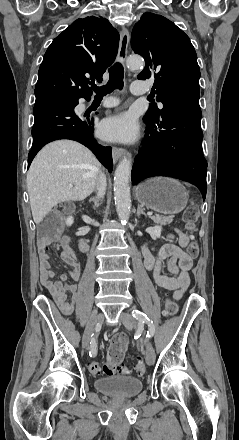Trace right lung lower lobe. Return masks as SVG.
<instances>
[{"label":"right lung lower lobe","instance_id":"1","mask_svg":"<svg viewBox=\"0 0 239 440\" xmlns=\"http://www.w3.org/2000/svg\"><path fill=\"white\" fill-rule=\"evenodd\" d=\"M91 97V96H90ZM90 97H80L90 99ZM78 99L62 96L38 98L34 105L33 145L28 155V166L38 151L47 143L58 139H71L88 147L98 160L112 172V149L99 145L93 138V119L77 116L74 107Z\"/></svg>","mask_w":239,"mask_h":440}]
</instances>
